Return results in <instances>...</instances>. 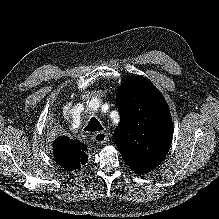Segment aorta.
Returning <instances> with one entry per match:
<instances>
[{"label": "aorta", "instance_id": "762f6f07", "mask_svg": "<svg viewBox=\"0 0 219 219\" xmlns=\"http://www.w3.org/2000/svg\"><path fill=\"white\" fill-rule=\"evenodd\" d=\"M101 104L100 99L97 97H93L90 101H89V106L93 109V110H97L98 106Z\"/></svg>", "mask_w": 219, "mask_h": 219}]
</instances>
